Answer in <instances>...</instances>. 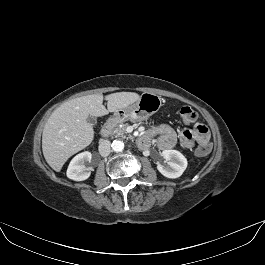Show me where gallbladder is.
<instances>
[{
	"mask_svg": "<svg viewBox=\"0 0 265 265\" xmlns=\"http://www.w3.org/2000/svg\"><path fill=\"white\" fill-rule=\"evenodd\" d=\"M87 122L90 123L91 125H96L97 120L94 116L89 115L87 118Z\"/></svg>",
	"mask_w": 265,
	"mask_h": 265,
	"instance_id": "gallbladder-1",
	"label": "gallbladder"
}]
</instances>
